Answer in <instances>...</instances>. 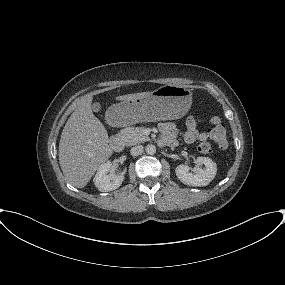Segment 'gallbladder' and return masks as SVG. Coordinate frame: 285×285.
<instances>
[{
	"label": "gallbladder",
	"instance_id": "bac80fb5",
	"mask_svg": "<svg viewBox=\"0 0 285 285\" xmlns=\"http://www.w3.org/2000/svg\"><path fill=\"white\" fill-rule=\"evenodd\" d=\"M92 109L94 112H99L100 109H101V104L99 102H95L93 105H92Z\"/></svg>",
	"mask_w": 285,
	"mask_h": 285
}]
</instances>
